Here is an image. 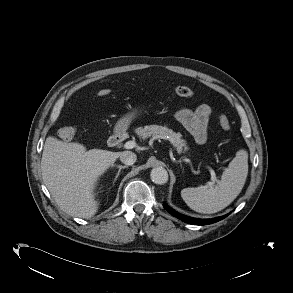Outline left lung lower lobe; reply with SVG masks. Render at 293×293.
I'll return each instance as SVG.
<instances>
[{
	"label": "left lung lower lobe",
	"mask_w": 293,
	"mask_h": 293,
	"mask_svg": "<svg viewBox=\"0 0 293 293\" xmlns=\"http://www.w3.org/2000/svg\"><path fill=\"white\" fill-rule=\"evenodd\" d=\"M163 206L173 216L181 219L182 221H184L186 223L194 224V225H207V224L215 223L217 221L222 220L226 216H228V214H227L225 216H221V217H217V218H212V219H196V218H191V217H188V216L179 214L178 212H176L173 209H171L167 204H164Z\"/></svg>",
	"instance_id": "left-lung-lower-lobe-1"
}]
</instances>
